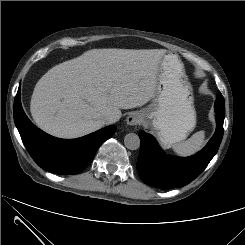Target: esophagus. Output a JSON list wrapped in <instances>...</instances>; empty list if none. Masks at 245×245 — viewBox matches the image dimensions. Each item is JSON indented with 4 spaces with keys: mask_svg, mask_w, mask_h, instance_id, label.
<instances>
[{
    "mask_svg": "<svg viewBox=\"0 0 245 245\" xmlns=\"http://www.w3.org/2000/svg\"><path fill=\"white\" fill-rule=\"evenodd\" d=\"M143 121V117L139 113H132L127 117V124L130 126H136L141 124Z\"/></svg>",
    "mask_w": 245,
    "mask_h": 245,
    "instance_id": "34e87169",
    "label": "esophagus"
}]
</instances>
